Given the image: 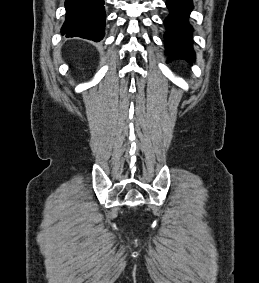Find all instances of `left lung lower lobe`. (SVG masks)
Returning <instances> with one entry per match:
<instances>
[{"mask_svg": "<svg viewBox=\"0 0 259 283\" xmlns=\"http://www.w3.org/2000/svg\"><path fill=\"white\" fill-rule=\"evenodd\" d=\"M166 5L170 11L164 21L167 28L164 36L166 54L170 56L167 62L182 59L192 63L195 58L193 28L188 22L193 8L192 0H167Z\"/></svg>", "mask_w": 259, "mask_h": 283, "instance_id": "left-lung-lower-lobe-1", "label": "left lung lower lobe"}]
</instances>
